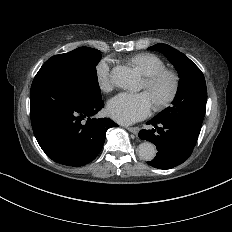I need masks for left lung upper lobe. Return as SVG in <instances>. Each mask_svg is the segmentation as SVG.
I'll return each mask as SVG.
<instances>
[{"instance_id": "obj_1", "label": "left lung upper lobe", "mask_w": 232, "mask_h": 232, "mask_svg": "<svg viewBox=\"0 0 232 232\" xmlns=\"http://www.w3.org/2000/svg\"><path fill=\"white\" fill-rule=\"evenodd\" d=\"M149 49L163 53L174 65L180 78L172 106L167 107L155 118L177 121L200 133L207 102L203 73L186 55L167 44H156Z\"/></svg>"}]
</instances>
